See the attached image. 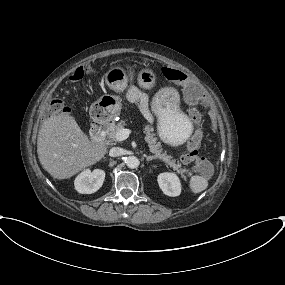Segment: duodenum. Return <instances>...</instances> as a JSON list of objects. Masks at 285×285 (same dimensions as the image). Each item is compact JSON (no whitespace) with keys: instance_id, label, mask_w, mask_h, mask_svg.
Here are the masks:
<instances>
[{"instance_id":"410a0bca","label":"duodenum","mask_w":285,"mask_h":285,"mask_svg":"<svg viewBox=\"0 0 285 285\" xmlns=\"http://www.w3.org/2000/svg\"><path fill=\"white\" fill-rule=\"evenodd\" d=\"M108 129L107 125L93 126L91 129V138L95 142H100L104 139L105 133Z\"/></svg>"}]
</instances>
